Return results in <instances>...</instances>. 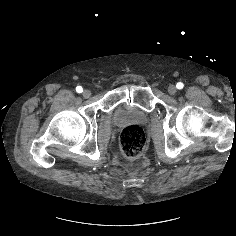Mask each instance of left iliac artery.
Listing matches in <instances>:
<instances>
[{
	"label": "left iliac artery",
	"instance_id": "obj_1",
	"mask_svg": "<svg viewBox=\"0 0 236 236\" xmlns=\"http://www.w3.org/2000/svg\"><path fill=\"white\" fill-rule=\"evenodd\" d=\"M176 87H177L178 89H182V88L184 87V84H183L182 82H178V83L176 84Z\"/></svg>",
	"mask_w": 236,
	"mask_h": 236
}]
</instances>
